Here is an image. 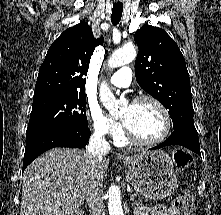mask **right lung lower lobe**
Instances as JSON below:
<instances>
[{
	"mask_svg": "<svg viewBox=\"0 0 221 215\" xmlns=\"http://www.w3.org/2000/svg\"><path fill=\"white\" fill-rule=\"evenodd\" d=\"M90 129L78 132L49 130L26 136L23 170L40 154L54 147L82 148L90 138Z\"/></svg>",
	"mask_w": 221,
	"mask_h": 215,
	"instance_id": "right-lung-lower-lobe-1",
	"label": "right lung lower lobe"
}]
</instances>
